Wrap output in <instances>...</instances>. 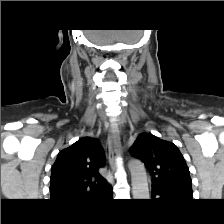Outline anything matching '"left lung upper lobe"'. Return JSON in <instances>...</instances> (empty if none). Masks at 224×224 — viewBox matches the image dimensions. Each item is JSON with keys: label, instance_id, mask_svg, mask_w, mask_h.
<instances>
[{"label": "left lung upper lobe", "instance_id": "5c2ea615", "mask_svg": "<svg viewBox=\"0 0 224 224\" xmlns=\"http://www.w3.org/2000/svg\"><path fill=\"white\" fill-rule=\"evenodd\" d=\"M152 175L153 187L163 192L184 193L192 197L188 166L178 148L152 134H140L130 148Z\"/></svg>", "mask_w": 224, "mask_h": 224}]
</instances>
